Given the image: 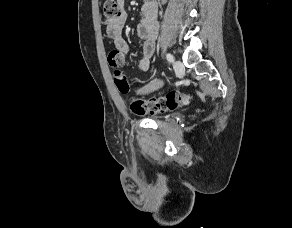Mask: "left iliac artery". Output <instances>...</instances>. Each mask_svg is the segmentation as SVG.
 Returning a JSON list of instances; mask_svg holds the SVG:
<instances>
[{"instance_id":"obj_1","label":"left iliac artery","mask_w":292,"mask_h":228,"mask_svg":"<svg viewBox=\"0 0 292 228\" xmlns=\"http://www.w3.org/2000/svg\"><path fill=\"white\" fill-rule=\"evenodd\" d=\"M166 58H167V60H168L169 62H173V61H174V57H173V55L170 54V53H167V54H166Z\"/></svg>"}]
</instances>
